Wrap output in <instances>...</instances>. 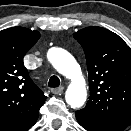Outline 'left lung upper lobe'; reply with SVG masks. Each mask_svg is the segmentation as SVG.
<instances>
[{"instance_id": "5c2ea615", "label": "left lung upper lobe", "mask_w": 131, "mask_h": 131, "mask_svg": "<svg viewBox=\"0 0 131 131\" xmlns=\"http://www.w3.org/2000/svg\"><path fill=\"white\" fill-rule=\"evenodd\" d=\"M73 36L85 52L90 87L77 121L87 131H123L131 123V49L102 27H86Z\"/></svg>"}]
</instances>
